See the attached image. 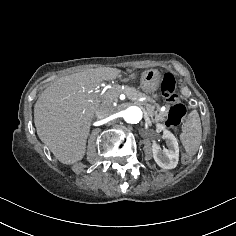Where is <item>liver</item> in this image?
Here are the masks:
<instances>
[{
  "label": "liver",
  "instance_id": "liver-1",
  "mask_svg": "<svg viewBox=\"0 0 236 236\" xmlns=\"http://www.w3.org/2000/svg\"><path fill=\"white\" fill-rule=\"evenodd\" d=\"M125 73L129 81L139 75L134 67ZM120 76L116 67L88 68L59 78L40 94L34 105L37 136L60 163L74 165L85 158L95 113L103 118L115 114L110 91L97 94L96 87Z\"/></svg>",
  "mask_w": 236,
  "mask_h": 236
}]
</instances>
